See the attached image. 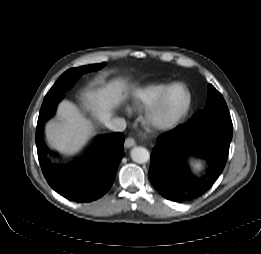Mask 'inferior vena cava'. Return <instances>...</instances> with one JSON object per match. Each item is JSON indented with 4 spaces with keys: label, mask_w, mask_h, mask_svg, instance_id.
<instances>
[{
    "label": "inferior vena cava",
    "mask_w": 261,
    "mask_h": 254,
    "mask_svg": "<svg viewBox=\"0 0 261 254\" xmlns=\"http://www.w3.org/2000/svg\"><path fill=\"white\" fill-rule=\"evenodd\" d=\"M105 126L115 132H123L126 129V121L123 118L114 117L105 122Z\"/></svg>",
    "instance_id": "inferior-vena-cava-1"
}]
</instances>
